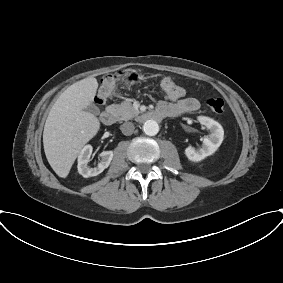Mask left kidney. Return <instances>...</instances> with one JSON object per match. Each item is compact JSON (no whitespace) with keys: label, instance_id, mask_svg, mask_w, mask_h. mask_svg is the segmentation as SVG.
<instances>
[{"label":"left kidney","instance_id":"1","mask_svg":"<svg viewBox=\"0 0 283 283\" xmlns=\"http://www.w3.org/2000/svg\"><path fill=\"white\" fill-rule=\"evenodd\" d=\"M198 121L210 130V135L204 138L201 148L195 149L194 147L189 146L185 149V155L193 162H200L206 157L214 154L224 139V130L218 122L204 116L198 117Z\"/></svg>","mask_w":283,"mask_h":283}]
</instances>
